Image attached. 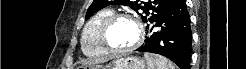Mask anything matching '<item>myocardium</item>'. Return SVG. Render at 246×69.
<instances>
[{
    "label": "myocardium",
    "instance_id": "myocardium-1",
    "mask_svg": "<svg viewBox=\"0 0 246 69\" xmlns=\"http://www.w3.org/2000/svg\"><path fill=\"white\" fill-rule=\"evenodd\" d=\"M120 19H127L132 21L135 24L138 33L136 41L131 46L124 49H117L112 47L107 38L112 25ZM99 37L100 42L106 51H108L111 54L122 55L138 48L144 40L145 33L142 22L136 16L130 13H113L112 15L108 16L102 23L99 31Z\"/></svg>",
    "mask_w": 246,
    "mask_h": 69
}]
</instances>
